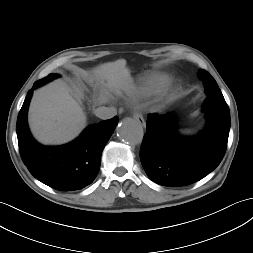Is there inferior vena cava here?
Wrapping results in <instances>:
<instances>
[{"label":"inferior vena cava","instance_id":"inferior-vena-cava-1","mask_svg":"<svg viewBox=\"0 0 253 253\" xmlns=\"http://www.w3.org/2000/svg\"><path fill=\"white\" fill-rule=\"evenodd\" d=\"M94 113L98 118L105 120V119H111L114 116H116L117 111L114 107L102 106L95 109Z\"/></svg>","mask_w":253,"mask_h":253}]
</instances>
